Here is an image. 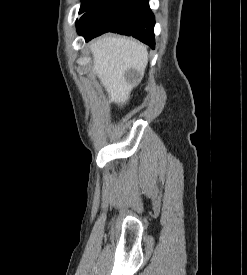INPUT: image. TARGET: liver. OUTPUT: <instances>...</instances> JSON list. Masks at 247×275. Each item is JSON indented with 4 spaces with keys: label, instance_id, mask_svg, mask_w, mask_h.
I'll return each mask as SVG.
<instances>
[{
    "label": "liver",
    "instance_id": "obj_1",
    "mask_svg": "<svg viewBox=\"0 0 247 275\" xmlns=\"http://www.w3.org/2000/svg\"><path fill=\"white\" fill-rule=\"evenodd\" d=\"M90 49L94 74L110 101L123 106L129 101L133 88L125 74L132 69L143 77L148 63L146 46L129 38L106 36L91 42Z\"/></svg>",
    "mask_w": 247,
    "mask_h": 275
}]
</instances>
